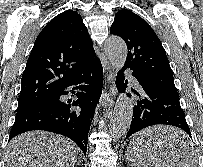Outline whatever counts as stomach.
Listing matches in <instances>:
<instances>
[{
	"mask_svg": "<svg viewBox=\"0 0 203 167\" xmlns=\"http://www.w3.org/2000/svg\"><path fill=\"white\" fill-rule=\"evenodd\" d=\"M127 156H128V158H129V152L127 153Z\"/></svg>",
	"mask_w": 203,
	"mask_h": 167,
	"instance_id": "1",
	"label": "stomach"
}]
</instances>
